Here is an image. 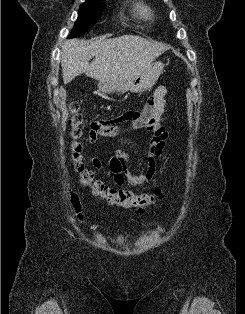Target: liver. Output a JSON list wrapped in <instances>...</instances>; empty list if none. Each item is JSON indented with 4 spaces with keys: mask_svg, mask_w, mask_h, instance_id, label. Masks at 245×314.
Wrapping results in <instances>:
<instances>
[{
    "mask_svg": "<svg viewBox=\"0 0 245 314\" xmlns=\"http://www.w3.org/2000/svg\"><path fill=\"white\" fill-rule=\"evenodd\" d=\"M168 49L166 44L135 35L90 42L70 39L61 50L63 82L67 84L82 73L98 81L128 79L148 69Z\"/></svg>",
    "mask_w": 245,
    "mask_h": 314,
    "instance_id": "6515ba94",
    "label": "liver"
}]
</instances>
